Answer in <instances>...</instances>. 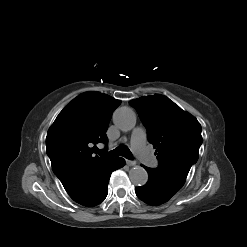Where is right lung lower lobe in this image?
<instances>
[{"label":"right lung lower lobe","instance_id":"right-lung-lower-lobe-1","mask_svg":"<svg viewBox=\"0 0 247 247\" xmlns=\"http://www.w3.org/2000/svg\"><path fill=\"white\" fill-rule=\"evenodd\" d=\"M124 165L123 158H114L110 163L79 180L66 191L75 202L86 207L96 206L102 203L108 194L111 173Z\"/></svg>","mask_w":247,"mask_h":247}]
</instances>
